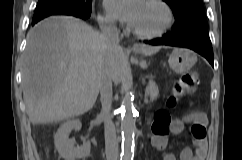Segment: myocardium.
<instances>
[{
	"label": "myocardium",
	"mask_w": 242,
	"mask_h": 160,
	"mask_svg": "<svg viewBox=\"0 0 242 160\" xmlns=\"http://www.w3.org/2000/svg\"><path fill=\"white\" fill-rule=\"evenodd\" d=\"M149 1L159 5L160 7H162L164 9V11L166 12L165 23L163 24V26L160 29L153 31V32H146V31L138 30V29L134 28L133 26H130V30L133 34H135L138 37L145 38V39H154V38L164 35L173 26L174 21H175V15H174V11H173L172 7L166 0H149Z\"/></svg>",
	"instance_id": "1"
}]
</instances>
